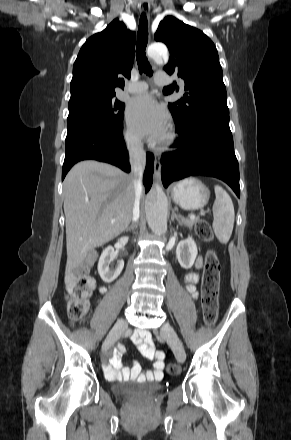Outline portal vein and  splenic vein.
<instances>
[{
  "mask_svg": "<svg viewBox=\"0 0 291 440\" xmlns=\"http://www.w3.org/2000/svg\"><path fill=\"white\" fill-rule=\"evenodd\" d=\"M189 218H190V219H196V216L192 214V215H189ZM114 222H115L114 220L111 221L112 224H113Z\"/></svg>",
  "mask_w": 291,
  "mask_h": 440,
  "instance_id": "18ae733b",
  "label": "portal vein and splenic vein"
}]
</instances>
